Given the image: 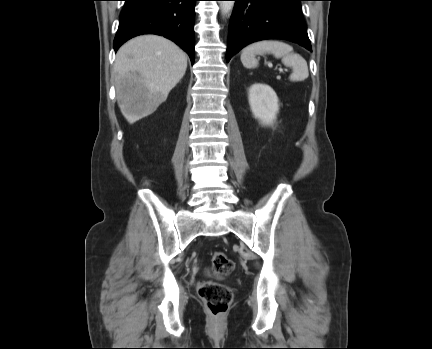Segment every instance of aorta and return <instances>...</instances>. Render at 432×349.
<instances>
[{
	"label": "aorta",
	"mask_w": 432,
	"mask_h": 349,
	"mask_svg": "<svg viewBox=\"0 0 432 349\" xmlns=\"http://www.w3.org/2000/svg\"><path fill=\"white\" fill-rule=\"evenodd\" d=\"M234 3V1H220L221 13L223 16H227L232 12Z\"/></svg>",
	"instance_id": "1"
}]
</instances>
